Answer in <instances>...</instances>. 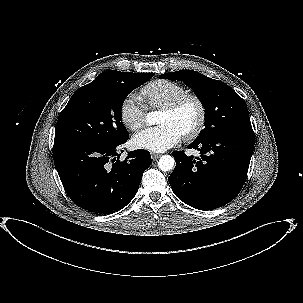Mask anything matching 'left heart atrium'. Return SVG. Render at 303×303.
Listing matches in <instances>:
<instances>
[{
  "label": "left heart atrium",
  "instance_id": "39dd6f15",
  "mask_svg": "<svg viewBox=\"0 0 303 303\" xmlns=\"http://www.w3.org/2000/svg\"><path fill=\"white\" fill-rule=\"evenodd\" d=\"M182 138L181 132L169 123L147 128L133 137V144L140 149L163 152L175 146Z\"/></svg>",
  "mask_w": 303,
  "mask_h": 303
}]
</instances>
